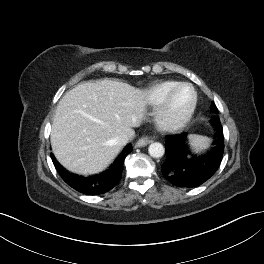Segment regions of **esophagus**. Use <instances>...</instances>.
<instances>
[{
    "label": "esophagus",
    "instance_id": "1",
    "mask_svg": "<svg viewBox=\"0 0 264 264\" xmlns=\"http://www.w3.org/2000/svg\"><path fill=\"white\" fill-rule=\"evenodd\" d=\"M151 142H152V139L151 138H149V137H142V138H140L136 142L135 147H138V148L139 147H144V146L150 144Z\"/></svg>",
    "mask_w": 264,
    "mask_h": 264
}]
</instances>
